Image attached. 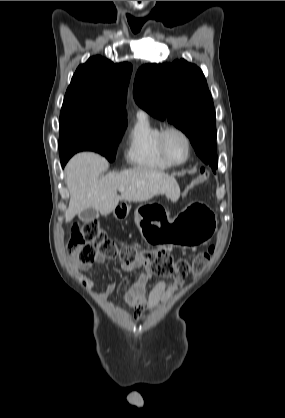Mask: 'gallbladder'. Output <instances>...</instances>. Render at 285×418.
Listing matches in <instances>:
<instances>
[{
	"label": "gallbladder",
	"instance_id": "1",
	"mask_svg": "<svg viewBox=\"0 0 285 418\" xmlns=\"http://www.w3.org/2000/svg\"><path fill=\"white\" fill-rule=\"evenodd\" d=\"M99 212L94 208H87L85 209L80 215L79 218L83 222L93 221L94 219L98 218Z\"/></svg>",
	"mask_w": 285,
	"mask_h": 418
}]
</instances>
